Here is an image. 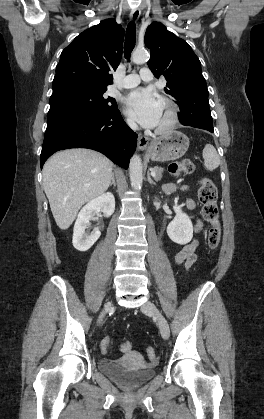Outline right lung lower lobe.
<instances>
[{"mask_svg": "<svg viewBox=\"0 0 264 419\" xmlns=\"http://www.w3.org/2000/svg\"><path fill=\"white\" fill-rule=\"evenodd\" d=\"M137 134L124 122L120 111H65L47 122L41 168L56 151L90 148L106 155L125 169L135 152Z\"/></svg>", "mask_w": 264, "mask_h": 419, "instance_id": "right-lung-lower-lobe-1", "label": "right lung lower lobe"}]
</instances>
